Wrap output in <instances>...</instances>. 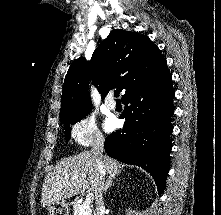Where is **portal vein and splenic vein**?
Instances as JSON below:
<instances>
[{
  "label": "portal vein and splenic vein",
  "mask_w": 221,
  "mask_h": 215,
  "mask_svg": "<svg viewBox=\"0 0 221 215\" xmlns=\"http://www.w3.org/2000/svg\"><path fill=\"white\" fill-rule=\"evenodd\" d=\"M92 196H93V193L89 192L87 195H86V201L85 202H90L91 199H92Z\"/></svg>",
  "instance_id": "18ae733b"
}]
</instances>
